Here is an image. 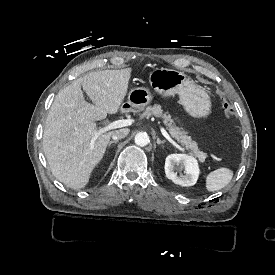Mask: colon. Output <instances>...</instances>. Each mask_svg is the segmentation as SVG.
<instances>
[{
    "label": "colon",
    "instance_id": "5ec220e1",
    "mask_svg": "<svg viewBox=\"0 0 275 275\" xmlns=\"http://www.w3.org/2000/svg\"><path fill=\"white\" fill-rule=\"evenodd\" d=\"M221 101H222V107L225 110V112H226L227 116L229 117V119H231V120L234 119V117H235V110L232 107L231 102L227 101L224 98H222Z\"/></svg>",
    "mask_w": 275,
    "mask_h": 275
}]
</instances>
